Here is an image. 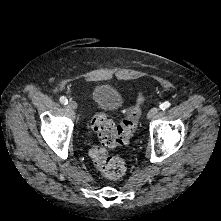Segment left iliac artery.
Returning a JSON list of instances; mask_svg holds the SVG:
<instances>
[{
	"label": "left iliac artery",
	"mask_w": 221,
	"mask_h": 221,
	"mask_svg": "<svg viewBox=\"0 0 221 221\" xmlns=\"http://www.w3.org/2000/svg\"><path fill=\"white\" fill-rule=\"evenodd\" d=\"M170 105H171L170 102L166 101V102H163L162 104H160L159 107L161 110H165V109L169 108Z\"/></svg>",
	"instance_id": "44dca946"
}]
</instances>
